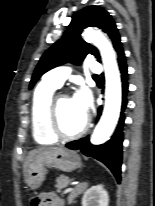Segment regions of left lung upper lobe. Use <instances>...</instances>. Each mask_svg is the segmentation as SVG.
Instances as JSON below:
<instances>
[{
    "label": "left lung upper lobe",
    "instance_id": "1",
    "mask_svg": "<svg viewBox=\"0 0 155 206\" xmlns=\"http://www.w3.org/2000/svg\"><path fill=\"white\" fill-rule=\"evenodd\" d=\"M92 26L108 34L115 50L121 46L118 29L111 15L98 6L85 7L72 17L63 37L43 54L33 73L29 89L44 73L67 62L80 64L87 55H94L100 62L98 50L80 37L84 28Z\"/></svg>",
    "mask_w": 155,
    "mask_h": 206
}]
</instances>
